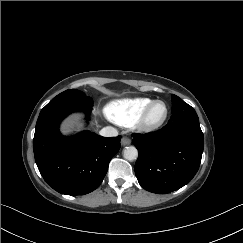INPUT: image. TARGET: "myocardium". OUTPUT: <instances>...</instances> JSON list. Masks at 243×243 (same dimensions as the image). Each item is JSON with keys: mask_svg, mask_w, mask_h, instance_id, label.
<instances>
[{"mask_svg": "<svg viewBox=\"0 0 243 243\" xmlns=\"http://www.w3.org/2000/svg\"><path fill=\"white\" fill-rule=\"evenodd\" d=\"M158 104H163L165 107V114L162 117L161 120L158 122H150L149 121V115L153 108L158 105ZM169 115V107L167 103L163 100H154L151 104H149L146 109L142 112L140 115L139 119L136 121V126L140 131L143 132H152L164 125V123L167 121Z\"/></svg>", "mask_w": 243, "mask_h": 243, "instance_id": "1", "label": "myocardium"}]
</instances>
